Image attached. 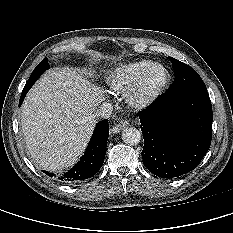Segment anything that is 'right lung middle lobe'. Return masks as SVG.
I'll return each mask as SVG.
<instances>
[{
    "label": "right lung middle lobe",
    "instance_id": "right-lung-middle-lobe-1",
    "mask_svg": "<svg viewBox=\"0 0 233 233\" xmlns=\"http://www.w3.org/2000/svg\"><path fill=\"white\" fill-rule=\"evenodd\" d=\"M49 68H50V66L48 64V59L47 58L43 59L38 64V66L34 69L29 80L27 81V83H29L31 85L34 84L35 81Z\"/></svg>",
    "mask_w": 233,
    "mask_h": 233
}]
</instances>
